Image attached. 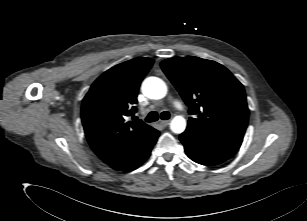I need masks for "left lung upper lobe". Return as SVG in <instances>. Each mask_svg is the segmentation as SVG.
<instances>
[{"label":"left lung upper lobe","instance_id":"left-lung-upper-lobe-1","mask_svg":"<svg viewBox=\"0 0 307 221\" xmlns=\"http://www.w3.org/2000/svg\"><path fill=\"white\" fill-rule=\"evenodd\" d=\"M161 68L189 107L188 126L243 138L249 109L243 85L221 64L198 57H174Z\"/></svg>","mask_w":307,"mask_h":221}]
</instances>
